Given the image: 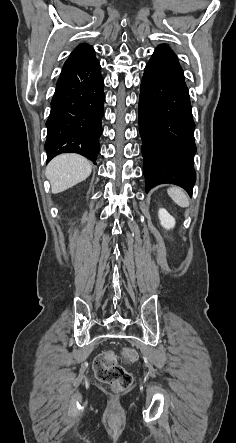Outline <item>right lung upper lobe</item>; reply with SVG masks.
<instances>
[{"instance_id":"cb5924a9","label":"right lung upper lobe","mask_w":236,"mask_h":443,"mask_svg":"<svg viewBox=\"0 0 236 443\" xmlns=\"http://www.w3.org/2000/svg\"><path fill=\"white\" fill-rule=\"evenodd\" d=\"M69 58H76L82 60H96L95 51L92 46L87 44L79 45L75 50L70 54Z\"/></svg>"}]
</instances>
